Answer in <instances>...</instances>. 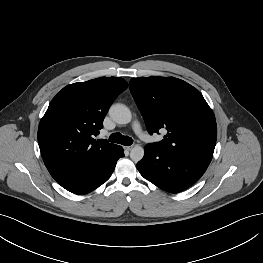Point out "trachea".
Listing matches in <instances>:
<instances>
[{
  "label": "trachea",
  "mask_w": 263,
  "mask_h": 263,
  "mask_svg": "<svg viewBox=\"0 0 263 263\" xmlns=\"http://www.w3.org/2000/svg\"><path fill=\"white\" fill-rule=\"evenodd\" d=\"M109 141L113 143L122 144L125 146H130L133 143V140L129 136H124L121 133H113L109 137Z\"/></svg>",
  "instance_id": "obj_1"
}]
</instances>
